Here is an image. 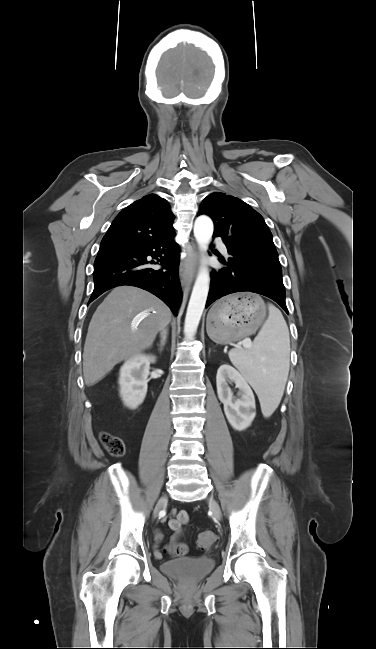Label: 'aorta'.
<instances>
[{
    "mask_svg": "<svg viewBox=\"0 0 376 649\" xmlns=\"http://www.w3.org/2000/svg\"><path fill=\"white\" fill-rule=\"evenodd\" d=\"M213 229V222L208 216L200 215L196 218L194 223V236L203 253L208 249ZM209 283L210 277L208 267L203 263L199 269L187 307L184 328L185 334L188 338H193L197 331L205 308Z\"/></svg>",
    "mask_w": 376,
    "mask_h": 649,
    "instance_id": "aorta-1",
    "label": "aorta"
}]
</instances>
